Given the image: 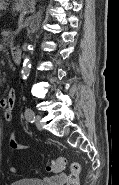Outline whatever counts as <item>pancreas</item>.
Here are the masks:
<instances>
[{"label": "pancreas", "instance_id": "cf45deb5", "mask_svg": "<svg viewBox=\"0 0 119 185\" xmlns=\"http://www.w3.org/2000/svg\"><path fill=\"white\" fill-rule=\"evenodd\" d=\"M9 34H12V32H10V31H4V32H3V36H7V35H9Z\"/></svg>", "mask_w": 119, "mask_h": 185}]
</instances>
